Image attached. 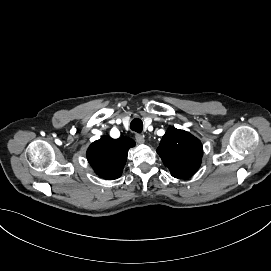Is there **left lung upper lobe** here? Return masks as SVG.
Here are the masks:
<instances>
[{
	"label": "left lung upper lobe",
	"mask_w": 271,
	"mask_h": 271,
	"mask_svg": "<svg viewBox=\"0 0 271 271\" xmlns=\"http://www.w3.org/2000/svg\"><path fill=\"white\" fill-rule=\"evenodd\" d=\"M164 165L175 178H188L200 167L202 144L192 134L170 127L157 148Z\"/></svg>",
	"instance_id": "obj_1"
}]
</instances>
